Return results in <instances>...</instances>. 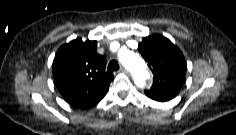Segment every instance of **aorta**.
<instances>
[{
	"instance_id": "762f6f07",
	"label": "aorta",
	"mask_w": 236,
	"mask_h": 135,
	"mask_svg": "<svg viewBox=\"0 0 236 135\" xmlns=\"http://www.w3.org/2000/svg\"><path fill=\"white\" fill-rule=\"evenodd\" d=\"M119 60L127 68L138 87H144L146 80L149 78L145 62L134 52L125 51L120 53Z\"/></svg>"
}]
</instances>
